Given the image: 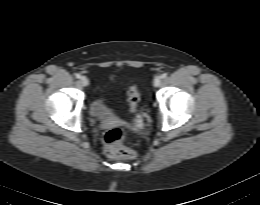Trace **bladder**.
Masks as SVG:
<instances>
[{"mask_svg":"<svg viewBox=\"0 0 260 205\" xmlns=\"http://www.w3.org/2000/svg\"><path fill=\"white\" fill-rule=\"evenodd\" d=\"M89 113L93 118L106 119L112 117L115 112L104 99L102 92H99L90 103Z\"/></svg>","mask_w":260,"mask_h":205,"instance_id":"1","label":"bladder"}]
</instances>
